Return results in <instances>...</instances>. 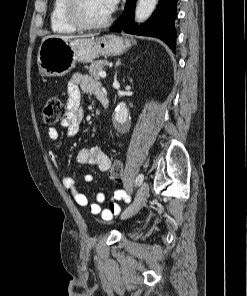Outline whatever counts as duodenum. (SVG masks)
Returning <instances> with one entry per match:
<instances>
[{
	"label": "duodenum",
	"mask_w": 247,
	"mask_h": 296,
	"mask_svg": "<svg viewBox=\"0 0 247 296\" xmlns=\"http://www.w3.org/2000/svg\"><path fill=\"white\" fill-rule=\"evenodd\" d=\"M96 96H97L99 102L103 105V107L108 108L109 97H108L107 93L103 89H100L96 92Z\"/></svg>",
	"instance_id": "1"
}]
</instances>
